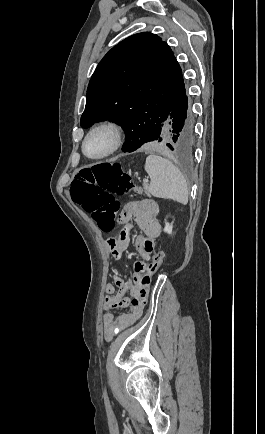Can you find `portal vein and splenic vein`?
Wrapping results in <instances>:
<instances>
[{
    "label": "portal vein and splenic vein",
    "instance_id": "1",
    "mask_svg": "<svg viewBox=\"0 0 265 434\" xmlns=\"http://www.w3.org/2000/svg\"><path fill=\"white\" fill-rule=\"evenodd\" d=\"M143 182H149V180H143Z\"/></svg>",
    "mask_w": 265,
    "mask_h": 434
}]
</instances>
